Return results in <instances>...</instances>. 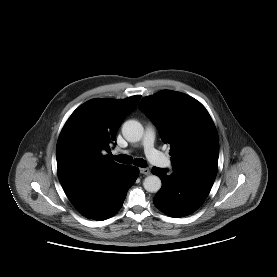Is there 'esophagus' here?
<instances>
[{"mask_svg":"<svg viewBox=\"0 0 277 277\" xmlns=\"http://www.w3.org/2000/svg\"><path fill=\"white\" fill-rule=\"evenodd\" d=\"M140 173H142L144 175H149L150 170H149V168H140Z\"/></svg>","mask_w":277,"mask_h":277,"instance_id":"1","label":"esophagus"}]
</instances>
